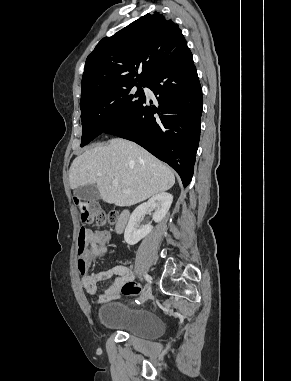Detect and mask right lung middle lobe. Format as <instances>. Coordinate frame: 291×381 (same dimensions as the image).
Here are the masks:
<instances>
[{"label":"right lung middle lobe","instance_id":"obj_1","mask_svg":"<svg viewBox=\"0 0 291 381\" xmlns=\"http://www.w3.org/2000/svg\"><path fill=\"white\" fill-rule=\"evenodd\" d=\"M134 86H137L138 90L132 94L131 90ZM142 86L146 87V83L112 88L81 104L83 127L81 147L88 144L107 128L115 126L133 114L145 98Z\"/></svg>","mask_w":291,"mask_h":381}]
</instances>
